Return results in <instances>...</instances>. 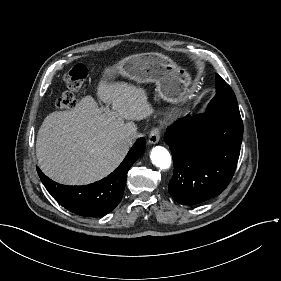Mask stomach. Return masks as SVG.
<instances>
[{"label":"stomach","mask_w":281,"mask_h":281,"mask_svg":"<svg viewBox=\"0 0 281 281\" xmlns=\"http://www.w3.org/2000/svg\"><path fill=\"white\" fill-rule=\"evenodd\" d=\"M120 76L137 84H155L157 97L168 104L182 106L191 98V73L165 53L153 51L125 56L101 71L99 84L114 87Z\"/></svg>","instance_id":"1"}]
</instances>
